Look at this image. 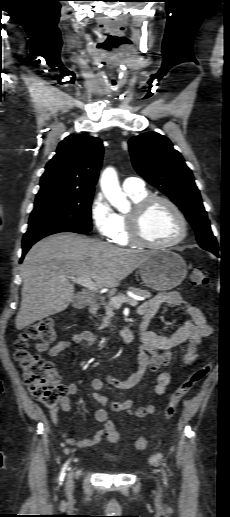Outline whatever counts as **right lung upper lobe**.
Returning a JSON list of instances; mask_svg holds the SVG:
<instances>
[{"label": "right lung upper lobe", "mask_w": 230, "mask_h": 517, "mask_svg": "<svg viewBox=\"0 0 230 517\" xmlns=\"http://www.w3.org/2000/svg\"><path fill=\"white\" fill-rule=\"evenodd\" d=\"M102 157L103 144L99 138L81 134L66 137L47 163L36 197L94 192Z\"/></svg>", "instance_id": "1"}]
</instances>
